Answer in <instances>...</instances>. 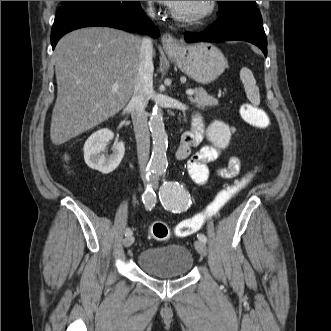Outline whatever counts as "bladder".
Returning <instances> with one entry per match:
<instances>
[{
    "instance_id": "bladder-1",
    "label": "bladder",
    "mask_w": 331,
    "mask_h": 331,
    "mask_svg": "<svg viewBox=\"0 0 331 331\" xmlns=\"http://www.w3.org/2000/svg\"><path fill=\"white\" fill-rule=\"evenodd\" d=\"M139 268L156 279H175L187 276L194 265L193 255L183 244L170 243L151 246L137 257Z\"/></svg>"
}]
</instances>
